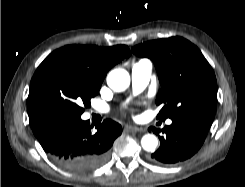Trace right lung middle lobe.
<instances>
[{
    "label": "right lung middle lobe",
    "instance_id": "obj_1",
    "mask_svg": "<svg viewBox=\"0 0 245 187\" xmlns=\"http://www.w3.org/2000/svg\"><path fill=\"white\" fill-rule=\"evenodd\" d=\"M101 83L74 61L51 53L37 68L30 83L27 111L30 126L56 117L81 116Z\"/></svg>",
    "mask_w": 245,
    "mask_h": 187
}]
</instances>
